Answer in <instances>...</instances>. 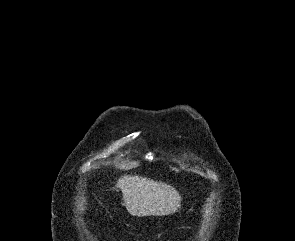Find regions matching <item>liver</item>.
Listing matches in <instances>:
<instances>
[{
  "label": "liver",
  "mask_w": 295,
  "mask_h": 241,
  "mask_svg": "<svg viewBox=\"0 0 295 241\" xmlns=\"http://www.w3.org/2000/svg\"><path fill=\"white\" fill-rule=\"evenodd\" d=\"M132 216H163L180 208L181 196L171 185L145 177L124 175L117 181Z\"/></svg>",
  "instance_id": "liver-1"
}]
</instances>
